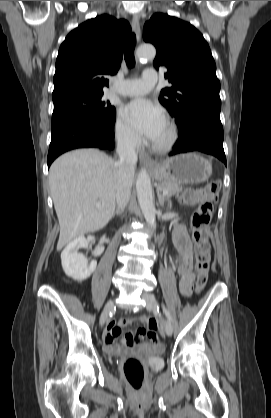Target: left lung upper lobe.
Masks as SVG:
<instances>
[{
    "mask_svg": "<svg viewBox=\"0 0 271 418\" xmlns=\"http://www.w3.org/2000/svg\"><path fill=\"white\" fill-rule=\"evenodd\" d=\"M143 38L156 47V69H168L165 78L172 87L161 91L159 101L176 122L198 112L220 113L216 65L207 42L194 26L156 13L145 23Z\"/></svg>",
    "mask_w": 271,
    "mask_h": 418,
    "instance_id": "left-lung-upper-lobe-1",
    "label": "left lung upper lobe"
}]
</instances>
